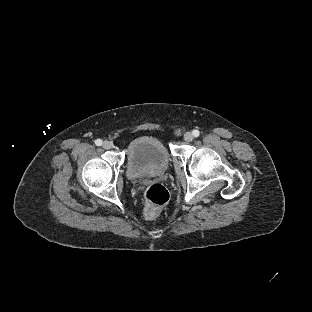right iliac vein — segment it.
<instances>
[{
    "mask_svg": "<svg viewBox=\"0 0 312 312\" xmlns=\"http://www.w3.org/2000/svg\"><path fill=\"white\" fill-rule=\"evenodd\" d=\"M103 148L110 149L112 147V143L109 141H104L102 144Z\"/></svg>",
    "mask_w": 312,
    "mask_h": 312,
    "instance_id": "obj_1",
    "label": "right iliac vein"
}]
</instances>
